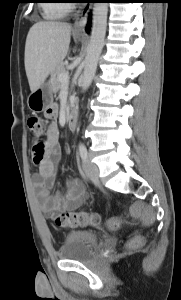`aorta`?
I'll list each match as a JSON object with an SVG mask.
<instances>
[{"instance_id": "obj_1", "label": "aorta", "mask_w": 181, "mask_h": 300, "mask_svg": "<svg viewBox=\"0 0 181 300\" xmlns=\"http://www.w3.org/2000/svg\"><path fill=\"white\" fill-rule=\"evenodd\" d=\"M107 3H95L93 7V26L87 55L84 61V72L82 77V90L86 91L95 76L97 63L104 46L107 26Z\"/></svg>"}]
</instances>
